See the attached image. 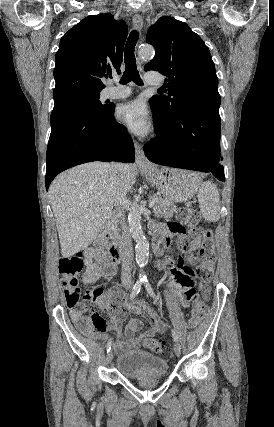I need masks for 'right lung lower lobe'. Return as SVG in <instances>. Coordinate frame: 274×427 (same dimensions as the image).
<instances>
[{"label": "right lung lower lobe", "instance_id": "obj_1", "mask_svg": "<svg viewBox=\"0 0 274 427\" xmlns=\"http://www.w3.org/2000/svg\"><path fill=\"white\" fill-rule=\"evenodd\" d=\"M113 113L112 106L103 112L81 109L51 121L46 189L57 174L82 163L135 161L133 141Z\"/></svg>", "mask_w": 274, "mask_h": 427}]
</instances>
